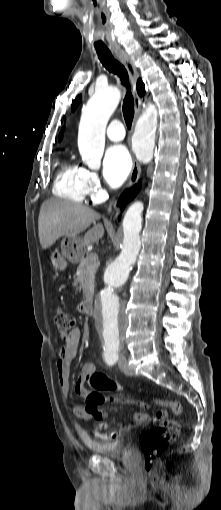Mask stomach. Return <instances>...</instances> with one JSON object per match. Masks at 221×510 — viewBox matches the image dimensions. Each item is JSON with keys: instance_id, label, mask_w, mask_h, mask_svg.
Wrapping results in <instances>:
<instances>
[{"instance_id": "0dacf381", "label": "stomach", "mask_w": 221, "mask_h": 510, "mask_svg": "<svg viewBox=\"0 0 221 510\" xmlns=\"http://www.w3.org/2000/svg\"><path fill=\"white\" fill-rule=\"evenodd\" d=\"M84 255L82 240L75 237H66L62 240L60 249L57 248L51 254V263L55 270L63 271L68 261H79Z\"/></svg>"}]
</instances>
